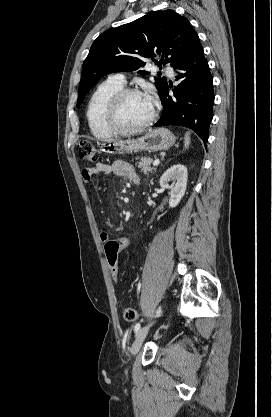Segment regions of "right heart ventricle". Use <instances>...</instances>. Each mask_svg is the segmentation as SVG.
Wrapping results in <instances>:
<instances>
[{"mask_svg":"<svg viewBox=\"0 0 272 417\" xmlns=\"http://www.w3.org/2000/svg\"><path fill=\"white\" fill-rule=\"evenodd\" d=\"M122 84L109 78L97 86L87 105L86 117L92 133L99 139L111 138L114 133L105 123V112L110 99L121 89Z\"/></svg>","mask_w":272,"mask_h":417,"instance_id":"1","label":"right heart ventricle"}]
</instances>
